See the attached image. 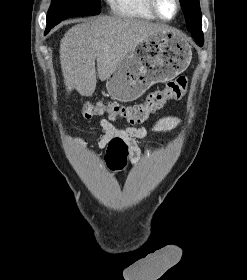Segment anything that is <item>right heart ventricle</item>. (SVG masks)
Returning <instances> with one entry per match:
<instances>
[{
	"label": "right heart ventricle",
	"instance_id": "1",
	"mask_svg": "<svg viewBox=\"0 0 247 280\" xmlns=\"http://www.w3.org/2000/svg\"><path fill=\"white\" fill-rule=\"evenodd\" d=\"M110 8L115 15L144 20H155L148 0H108Z\"/></svg>",
	"mask_w": 247,
	"mask_h": 280
}]
</instances>
